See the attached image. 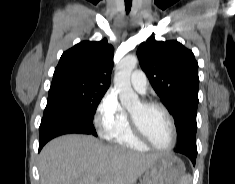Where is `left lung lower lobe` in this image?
Masks as SVG:
<instances>
[{
	"instance_id": "1",
	"label": "left lung lower lobe",
	"mask_w": 235,
	"mask_h": 184,
	"mask_svg": "<svg viewBox=\"0 0 235 184\" xmlns=\"http://www.w3.org/2000/svg\"><path fill=\"white\" fill-rule=\"evenodd\" d=\"M176 152L181 153L186 155L187 157L190 158V160L192 161L193 165H195L196 162V157H197V150H193V149H175Z\"/></svg>"
}]
</instances>
